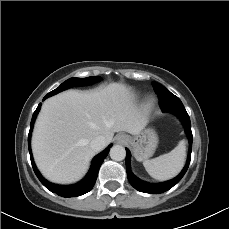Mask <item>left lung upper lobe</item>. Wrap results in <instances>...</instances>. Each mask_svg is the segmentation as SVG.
I'll return each instance as SVG.
<instances>
[{
    "instance_id": "1",
    "label": "left lung upper lobe",
    "mask_w": 229,
    "mask_h": 229,
    "mask_svg": "<svg viewBox=\"0 0 229 229\" xmlns=\"http://www.w3.org/2000/svg\"><path fill=\"white\" fill-rule=\"evenodd\" d=\"M154 86L160 98L162 111H173L178 108H184L181 100L172 94L167 88L159 83H154Z\"/></svg>"
}]
</instances>
